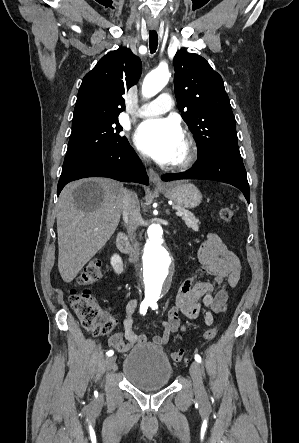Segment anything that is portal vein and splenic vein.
I'll list each match as a JSON object with an SVG mask.
<instances>
[{
	"mask_svg": "<svg viewBox=\"0 0 299 443\" xmlns=\"http://www.w3.org/2000/svg\"><path fill=\"white\" fill-rule=\"evenodd\" d=\"M176 215H177L178 217H181V216H183V213H182L181 211H177V212H176Z\"/></svg>",
	"mask_w": 299,
	"mask_h": 443,
	"instance_id": "portal-vein-and-splenic-vein-1",
	"label": "portal vein and splenic vein"
}]
</instances>
